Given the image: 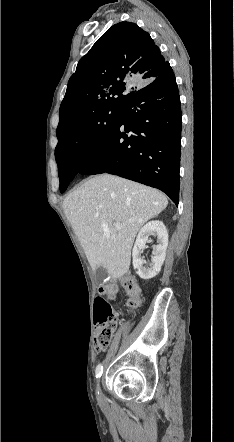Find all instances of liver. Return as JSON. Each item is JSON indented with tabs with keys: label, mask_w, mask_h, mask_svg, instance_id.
I'll return each mask as SVG.
<instances>
[{
	"label": "liver",
	"mask_w": 234,
	"mask_h": 442,
	"mask_svg": "<svg viewBox=\"0 0 234 442\" xmlns=\"http://www.w3.org/2000/svg\"><path fill=\"white\" fill-rule=\"evenodd\" d=\"M167 205L158 190L109 174L88 179L63 201L91 268L102 266L113 279L129 270L139 229ZM115 222L122 228L116 229Z\"/></svg>",
	"instance_id": "liver-1"
}]
</instances>
